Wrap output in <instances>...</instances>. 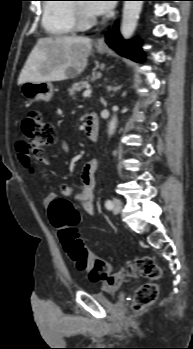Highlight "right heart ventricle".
<instances>
[{"instance_id":"1","label":"right heart ventricle","mask_w":193,"mask_h":349,"mask_svg":"<svg viewBox=\"0 0 193 349\" xmlns=\"http://www.w3.org/2000/svg\"><path fill=\"white\" fill-rule=\"evenodd\" d=\"M70 1V0H47ZM73 5L71 3L47 2L43 6L42 26L52 37H65L75 32L73 21Z\"/></svg>"}]
</instances>
